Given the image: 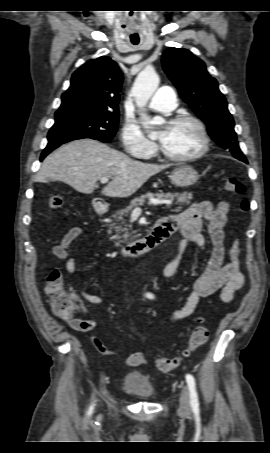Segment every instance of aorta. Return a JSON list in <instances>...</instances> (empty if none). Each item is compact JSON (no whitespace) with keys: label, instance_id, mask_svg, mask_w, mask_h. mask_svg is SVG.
<instances>
[{"label":"aorta","instance_id":"762f6f07","mask_svg":"<svg viewBox=\"0 0 270 453\" xmlns=\"http://www.w3.org/2000/svg\"><path fill=\"white\" fill-rule=\"evenodd\" d=\"M159 81V76L151 66L146 67L138 74L132 87L131 95L140 109L147 105L149 99L158 88ZM143 118L153 124H162L164 122L161 117L149 119L146 115H143Z\"/></svg>","mask_w":270,"mask_h":453}]
</instances>
